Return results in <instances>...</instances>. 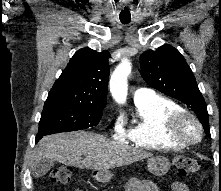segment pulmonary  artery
Segmentation results:
<instances>
[{
    "label": "pulmonary artery",
    "mask_w": 221,
    "mask_h": 191,
    "mask_svg": "<svg viewBox=\"0 0 221 191\" xmlns=\"http://www.w3.org/2000/svg\"><path fill=\"white\" fill-rule=\"evenodd\" d=\"M155 92L149 88H137L133 93L134 103L145 102L155 97Z\"/></svg>",
    "instance_id": "e3ab8cb5"
}]
</instances>
